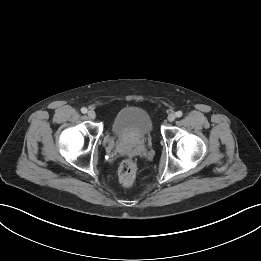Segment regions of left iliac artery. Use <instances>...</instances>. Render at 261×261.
I'll return each mask as SVG.
<instances>
[{"instance_id": "left-iliac-artery-1", "label": "left iliac artery", "mask_w": 261, "mask_h": 261, "mask_svg": "<svg viewBox=\"0 0 261 261\" xmlns=\"http://www.w3.org/2000/svg\"><path fill=\"white\" fill-rule=\"evenodd\" d=\"M182 115H183V113H182L181 111H177V112H176V117L179 118V117H181Z\"/></svg>"}]
</instances>
